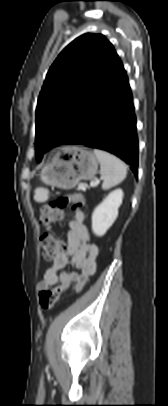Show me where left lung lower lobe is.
I'll use <instances>...</instances> for the list:
<instances>
[{
  "label": "left lung lower lobe",
  "mask_w": 168,
  "mask_h": 406,
  "mask_svg": "<svg viewBox=\"0 0 168 406\" xmlns=\"http://www.w3.org/2000/svg\"><path fill=\"white\" fill-rule=\"evenodd\" d=\"M64 144L85 145L108 151L131 165L130 169L137 176L136 117L122 63L94 104L82 128Z\"/></svg>",
  "instance_id": "1"
}]
</instances>
